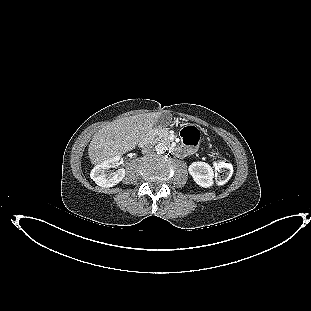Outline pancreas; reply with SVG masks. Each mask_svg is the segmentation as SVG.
I'll return each mask as SVG.
<instances>
[{"label":"pancreas","instance_id":"obj_1","mask_svg":"<svg viewBox=\"0 0 311 311\" xmlns=\"http://www.w3.org/2000/svg\"><path fill=\"white\" fill-rule=\"evenodd\" d=\"M159 136H160V138H162V139H164V140H168V138H169V132H168V130H166V129L160 130Z\"/></svg>","mask_w":311,"mask_h":311}]
</instances>
